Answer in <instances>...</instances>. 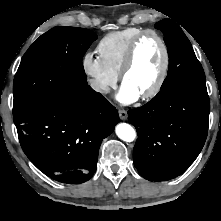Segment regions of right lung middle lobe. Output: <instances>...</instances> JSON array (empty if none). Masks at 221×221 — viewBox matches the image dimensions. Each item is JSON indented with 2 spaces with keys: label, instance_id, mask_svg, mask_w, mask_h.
Here are the masks:
<instances>
[{
  "label": "right lung middle lobe",
  "instance_id": "1",
  "mask_svg": "<svg viewBox=\"0 0 221 221\" xmlns=\"http://www.w3.org/2000/svg\"><path fill=\"white\" fill-rule=\"evenodd\" d=\"M97 35L84 28L55 27L26 51L14 78L13 116L87 85L82 58Z\"/></svg>",
  "mask_w": 221,
  "mask_h": 221
}]
</instances>
